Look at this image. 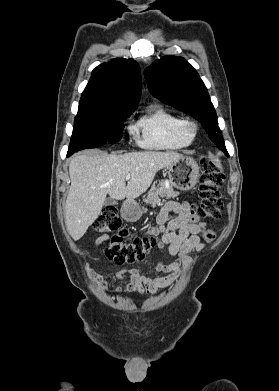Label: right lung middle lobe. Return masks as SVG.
<instances>
[{
    "label": "right lung middle lobe",
    "instance_id": "1",
    "mask_svg": "<svg viewBox=\"0 0 279 391\" xmlns=\"http://www.w3.org/2000/svg\"><path fill=\"white\" fill-rule=\"evenodd\" d=\"M134 109H111L78 112L68 155L82 149L96 148L106 142L114 144L121 138L122 123Z\"/></svg>",
    "mask_w": 279,
    "mask_h": 391
}]
</instances>
